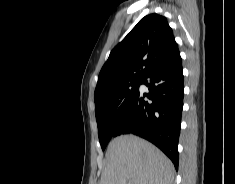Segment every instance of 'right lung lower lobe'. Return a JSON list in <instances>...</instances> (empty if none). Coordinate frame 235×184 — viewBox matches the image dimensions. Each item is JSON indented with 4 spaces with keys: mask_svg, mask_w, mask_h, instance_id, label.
<instances>
[{
    "mask_svg": "<svg viewBox=\"0 0 235 184\" xmlns=\"http://www.w3.org/2000/svg\"><path fill=\"white\" fill-rule=\"evenodd\" d=\"M149 94L139 92L123 116L115 136L135 134L155 144L178 169V139L184 84L179 50L143 79ZM145 97L152 102L145 101Z\"/></svg>",
    "mask_w": 235,
    "mask_h": 184,
    "instance_id": "right-lung-lower-lobe-1",
    "label": "right lung lower lobe"
}]
</instances>
